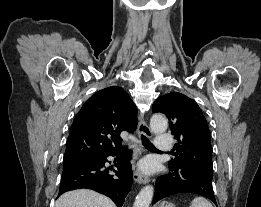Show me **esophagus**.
Returning a JSON list of instances; mask_svg holds the SVG:
<instances>
[{
    "label": "esophagus",
    "mask_w": 261,
    "mask_h": 207,
    "mask_svg": "<svg viewBox=\"0 0 261 207\" xmlns=\"http://www.w3.org/2000/svg\"><path fill=\"white\" fill-rule=\"evenodd\" d=\"M138 131L139 134H143L148 138H152L153 136L152 131L150 130L148 124L142 118L139 119ZM133 177H134V181L139 184H146L149 181V178L141 174L137 169H134Z\"/></svg>",
    "instance_id": "1"
}]
</instances>
